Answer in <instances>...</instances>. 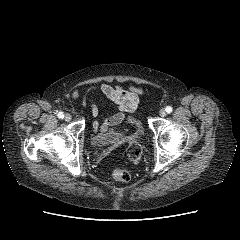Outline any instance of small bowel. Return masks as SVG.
I'll return each instance as SVG.
<instances>
[{"mask_svg":"<svg viewBox=\"0 0 240 240\" xmlns=\"http://www.w3.org/2000/svg\"><path fill=\"white\" fill-rule=\"evenodd\" d=\"M95 93H100L107 100L114 103L119 109L118 113L114 114L110 118L104 119L101 123L94 121V132H104L113 126L120 124L125 113L134 111L138 106L140 96L145 94V91L133 85L113 86L108 83H101L88 87L82 96V106L86 107L90 104L93 116L97 117L98 107L93 101ZM79 97L80 91L78 89L74 90L71 94L72 100L76 101Z\"/></svg>","mask_w":240,"mask_h":240,"instance_id":"obj_1","label":"small bowel"}]
</instances>
